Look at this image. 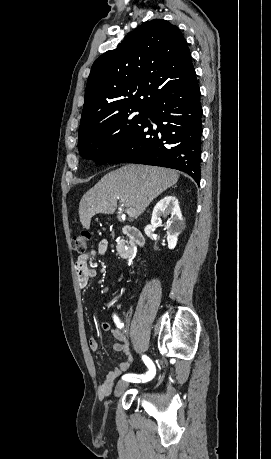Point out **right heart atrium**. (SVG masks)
Instances as JSON below:
<instances>
[{
	"mask_svg": "<svg viewBox=\"0 0 271 459\" xmlns=\"http://www.w3.org/2000/svg\"><path fill=\"white\" fill-rule=\"evenodd\" d=\"M118 132H109L102 137V145L108 151H114L119 146Z\"/></svg>",
	"mask_w": 271,
	"mask_h": 459,
	"instance_id": "obj_1",
	"label": "right heart atrium"
}]
</instances>
